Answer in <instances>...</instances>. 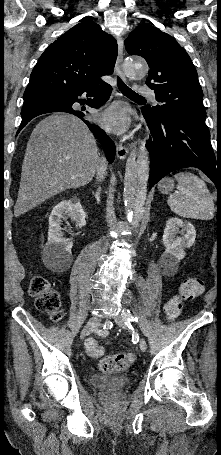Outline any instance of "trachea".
Segmentation results:
<instances>
[{
	"label": "trachea",
	"mask_w": 221,
	"mask_h": 455,
	"mask_svg": "<svg viewBox=\"0 0 221 455\" xmlns=\"http://www.w3.org/2000/svg\"><path fill=\"white\" fill-rule=\"evenodd\" d=\"M117 85L119 90L126 96L144 99V97L135 93L131 88H129L119 77L117 79Z\"/></svg>",
	"instance_id": "trachea-1"
}]
</instances>
